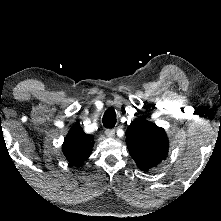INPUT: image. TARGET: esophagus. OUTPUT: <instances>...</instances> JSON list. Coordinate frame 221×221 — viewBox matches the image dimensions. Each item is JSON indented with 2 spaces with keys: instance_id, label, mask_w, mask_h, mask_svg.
<instances>
[{
  "instance_id": "34e87169",
  "label": "esophagus",
  "mask_w": 221,
  "mask_h": 221,
  "mask_svg": "<svg viewBox=\"0 0 221 221\" xmlns=\"http://www.w3.org/2000/svg\"><path fill=\"white\" fill-rule=\"evenodd\" d=\"M105 134H106L107 137L113 138L115 136V130L114 129H107L105 131Z\"/></svg>"
}]
</instances>
